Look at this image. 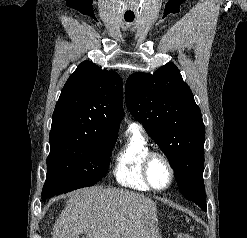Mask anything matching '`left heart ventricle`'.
<instances>
[{"label": "left heart ventricle", "mask_w": 247, "mask_h": 238, "mask_svg": "<svg viewBox=\"0 0 247 238\" xmlns=\"http://www.w3.org/2000/svg\"><path fill=\"white\" fill-rule=\"evenodd\" d=\"M150 178L154 185L162 187L169 181L170 173L165 162L159 158L153 159L149 168Z\"/></svg>", "instance_id": "obj_1"}]
</instances>
